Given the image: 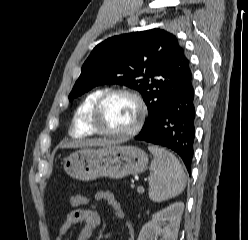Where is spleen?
<instances>
[{
	"instance_id": "obj_1",
	"label": "spleen",
	"mask_w": 248,
	"mask_h": 240,
	"mask_svg": "<svg viewBox=\"0 0 248 240\" xmlns=\"http://www.w3.org/2000/svg\"><path fill=\"white\" fill-rule=\"evenodd\" d=\"M154 159L150 165L149 198L162 202L176 197L186 186V175L179 160L169 151L157 146H149Z\"/></svg>"
}]
</instances>
